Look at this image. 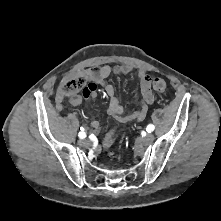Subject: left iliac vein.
<instances>
[{
  "instance_id": "obj_1",
  "label": "left iliac vein",
  "mask_w": 221,
  "mask_h": 221,
  "mask_svg": "<svg viewBox=\"0 0 221 221\" xmlns=\"http://www.w3.org/2000/svg\"><path fill=\"white\" fill-rule=\"evenodd\" d=\"M154 140V136L152 134H147L146 136L139 139V143L142 145H148L152 143Z\"/></svg>"
}]
</instances>
